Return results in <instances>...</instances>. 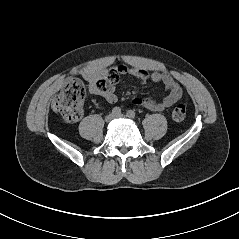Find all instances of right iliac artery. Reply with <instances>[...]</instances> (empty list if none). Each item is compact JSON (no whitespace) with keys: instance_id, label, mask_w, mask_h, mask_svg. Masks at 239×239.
<instances>
[{"instance_id":"obj_1","label":"right iliac artery","mask_w":239,"mask_h":239,"mask_svg":"<svg viewBox=\"0 0 239 239\" xmlns=\"http://www.w3.org/2000/svg\"><path fill=\"white\" fill-rule=\"evenodd\" d=\"M112 114L114 115H120L121 114V109L119 107H114L112 109Z\"/></svg>"}]
</instances>
